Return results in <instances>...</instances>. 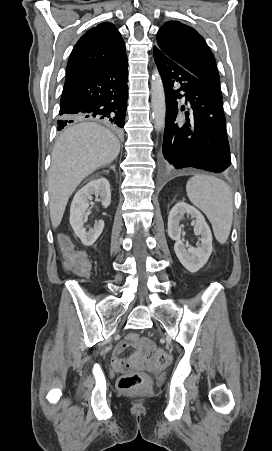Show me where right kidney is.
<instances>
[{"mask_svg": "<svg viewBox=\"0 0 272 451\" xmlns=\"http://www.w3.org/2000/svg\"><path fill=\"white\" fill-rule=\"evenodd\" d=\"M92 194L97 196V202H101L104 208L110 206L111 190L108 180L106 178L92 180L84 188H81L73 198L69 222L84 245H92L100 233H102L104 227L103 220L95 222L94 227H90L88 231H86L87 227H84L86 222L84 220V214L87 208H89V200H92Z\"/></svg>", "mask_w": 272, "mask_h": 451, "instance_id": "1", "label": "right kidney"}]
</instances>
